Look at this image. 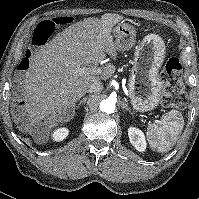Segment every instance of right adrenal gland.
<instances>
[{"label": "right adrenal gland", "instance_id": "2a0ac1e0", "mask_svg": "<svg viewBox=\"0 0 199 199\" xmlns=\"http://www.w3.org/2000/svg\"><path fill=\"white\" fill-rule=\"evenodd\" d=\"M86 100H87V97H84L82 100H80V102H79L77 105H75V106L73 107V115L75 114V110H76L77 108H79L82 104H85V103H86Z\"/></svg>", "mask_w": 199, "mask_h": 199}]
</instances>
